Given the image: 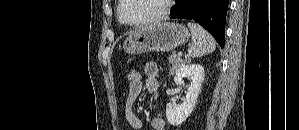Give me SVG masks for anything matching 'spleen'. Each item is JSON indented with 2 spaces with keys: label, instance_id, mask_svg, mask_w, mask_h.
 <instances>
[{
  "label": "spleen",
  "instance_id": "spleen-1",
  "mask_svg": "<svg viewBox=\"0 0 299 130\" xmlns=\"http://www.w3.org/2000/svg\"><path fill=\"white\" fill-rule=\"evenodd\" d=\"M187 25L192 34V43L188 49L190 57H202L215 50L216 43L211 34H209L199 24L188 22Z\"/></svg>",
  "mask_w": 299,
  "mask_h": 130
}]
</instances>
